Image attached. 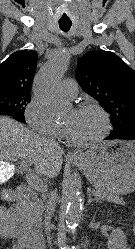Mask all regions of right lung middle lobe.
<instances>
[{"mask_svg":"<svg viewBox=\"0 0 135 249\" xmlns=\"http://www.w3.org/2000/svg\"><path fill=\"white\" fill-rule=\"evenodd\" d=\"M30 102V94L23 92H0V112L24 119V110Z\"/></svg>","mask_w":135,"mask_h":249,"instance_id":"obj_1","label":"right lung middle lobe"}]
</instances>
